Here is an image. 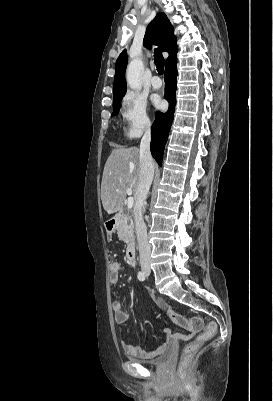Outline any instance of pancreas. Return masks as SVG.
I'll use <instances>...</instances> for the list:
<instances>
[{
	"label": "pancreas",
	"mask_w": 273,
	"mask_h": 401,
	"mask_svg": "<svg viewBox=\"0 0 273 401\" xmlns=\"http://www.w3.org/2000/svg\"><path fill=\"white\" fill-rule=\"evenodd\" d=\"M117 235L119 241L130 243L134 237V225L132 219H119L117 225Z\"/></svg>",
	"instance_id": "cf45deb5"
}]
</instances>
